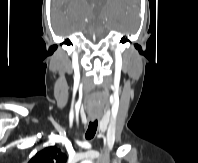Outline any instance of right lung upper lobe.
<instances>
[{"label": "right lung upper lobe", "mask_w": 198, "mask_h": 163, "mask_svg": "<svg viewBox=\"0 0 198 163\" xmlns=\"http://www.w3.org/2000/svg\"><path fill=\"white\" fill-rule=\"evenodd\" d=\"M67 157L55 146L38 152L28 163H65Z\"/></svg>", "instance_id": "1"}]
</instances>
